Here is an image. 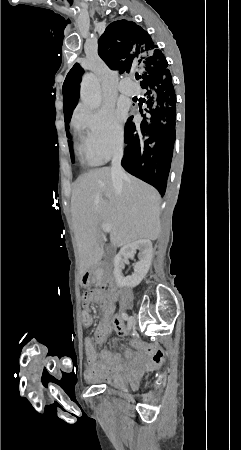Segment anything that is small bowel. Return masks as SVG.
Wrapping results in <instances>:
<instances>
[{"label":"small bowel","instance_id":"c3829d8e","mask_svg":"<svg viewBox=\"0 0 241 450\" xmlns=\"http://www.w3.org/2000/svg\"><path fill=\"white\" fill-rule=\"evenodd\" d=\"M88 287L89 285H82ZM112 285L110 283H100L89 289L82 296L84 311H90L94 305L104 314L102 323L98 326L95 335L88 337L85 340V354H86V373L85 378L89 383L99 382L101 380H114L117 377L124 375L132 386H137L141 374L147 368V360L144 356H131V351H126L127 359L123 360L119 355H115L110 351H103L101 359H98L96 344L104 341L110 329H113L117 334H125L126 330L122 321L118 317H111L113 303L116 298L112 297L109 292ZM90 327L91 325H84ZM134 348H146L139 340L132 339L130 342ZM151 358L152 366L159 368L165 361V354L160 349H154L148 353Z\"/></svg>","mask_w":241,"mask_h":450}]
</instances>
